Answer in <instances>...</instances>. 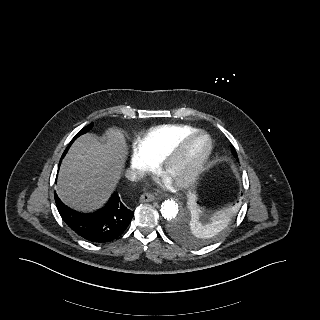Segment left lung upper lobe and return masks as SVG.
Listing matches in <instances>:
<instances>
[{"label": "left lung upper lobe", "instance_id": "5c2ea615", "mask_svg": "<svg viewBox=\"0 0 320 320\" xmlns=\"http://www.w3.org/2000/svg\"><path fill=\"white\" fill-rule=\"evenodd\" d=\"M232 154L235 156V157H237V153H236V150H235V148L232 146Z\"/></svg>", "mask_w": 320, "mask_h": 320}]
</instances>
